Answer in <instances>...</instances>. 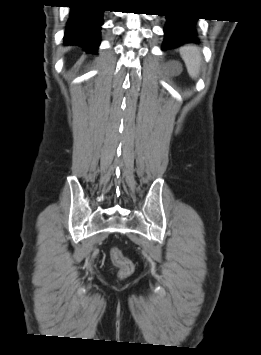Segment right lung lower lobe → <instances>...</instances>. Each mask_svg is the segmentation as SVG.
Here are the masks:
<instances>
[{
	"mask_svg": "<svg viewBox=\"0 0 261 355\" xmlns=\"http://www.w3.org/2000/svg\"><path fill=\"white\" fill-rule=\"evenodd\" d=\"M81 2L71 8L64 42L67 45H79L88 53L96 52L100 42L103 10L98 8L94 0Z\"/></svg>",
	"mask_w": 261,
	"mask_h": 355,
	"instance_id": "1",
	"label": "right lung lower lobe"
}]
</instances>
